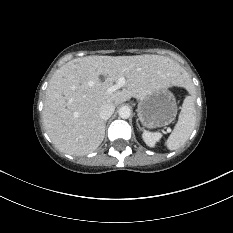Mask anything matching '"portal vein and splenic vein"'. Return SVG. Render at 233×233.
<instances>
[{
	"label": "portal vein and splenic vein",
	"mask_w": 233,
	"mask_h": 233,
	"mask_svg": "<svg viewBox=\"0 0 233 233\" xmlns=\"http://www.w3.org/2000/svg\"><path fill=\"white\" fill-rule=\"evenodd\" d=\"M124 85H125V78H124V77H120V78L118 79V81H117L114 85L110 86V87L107 89V92H108V93L115 92V91H117L118 89H121L122 87H124Z\"/></svg>",
	"instance_id": "18ae733b"
}]
</instances>
